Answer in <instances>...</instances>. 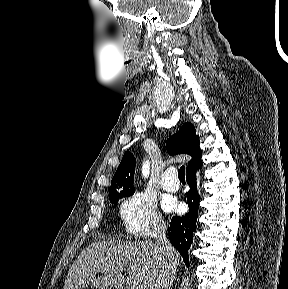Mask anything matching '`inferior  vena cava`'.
<instances>
[{
  "mask_svg": "<svg viewBox=\"0 0 288 289\" xmlns=\"http://www.w3.org/2000/svg\"><path fill=\"white\" fill-rule=\"evenodd\" d=\"M157 250L163 262L164 269L162 272L164 289H171L175 280L177 264L174 261V248L166 236V226H162L156 242Z\"/></svg>",
  "mask_w": 288,
  "mask_h": 289,
  "instance_id": "inferior-vena-cava-1",
  "label": "inferior vena cava"
}]
</instances>
